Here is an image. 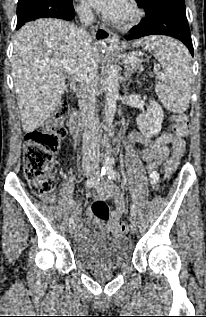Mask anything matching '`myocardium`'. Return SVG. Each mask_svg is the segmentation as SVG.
<instances>
[{"label":"myocardium","instance_id":"f54148a6","mask_svg":"<svg viewBox=\"0 0 206 317\" xmlns=\"http://www.w3.org/2000/svg\"><path fill=\"white\" fill-rule=\"evenodd\" d=\"M125 4L128 10L127 16L122 19L113 18L111 21L116 28L123 30L136 25L142 17V11L132 0H125Z\"/></svg>","mask_w":206,"mask_h":317}]
</instances>
